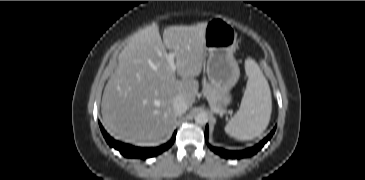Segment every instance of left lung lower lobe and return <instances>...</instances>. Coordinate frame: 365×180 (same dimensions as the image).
I'll use <instances>...</instances> for the list:
<instances>
[{
    "instance_id": "left-lung-lower-lobe-1",
    "label": "left lung lower lobe",
    "mask_w": 365,
    "mask_h": 180,
    "mask_svg": "<svg viewBox=\"0 0 365 180\" xmlns=\"http://www.w3.org/2000/svg\"><path fill=\"white\" fill-rule=\"evenodd\" d=\"M275 130H276V128H274L271 131V133L264 140H262L259 144L255 145L254 147L248 148L246 150L228 151V150H224V149H220V148L211 147L210 145H209V147L215 153L219 154L220 156H222L224 158L239 159V158H243V157L252 156V155L256 154L264 146V144L272 137ZM205 140H206V142H208V126H206V130H205Z\"/></svg>"
}]
</instances>
